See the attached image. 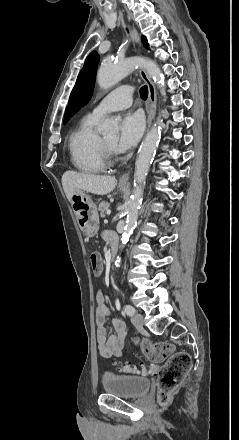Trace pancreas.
<instances>
[{"mask_svg": "<svg viewBox=\"0 0 239 440\" xmlns=\"http://www.w3.org/2000/svg\"><path fill=\"white\" fill-rule=\"evenodd\" d=\"M110 208V204L109 202H101V204H99V212H100V218H105V214L107 212V210H109Z\"/></svg>", "mask_w": 239, "mask_h": 440, "instance_id": "1", "label": "pancreas"}]
</instances>
